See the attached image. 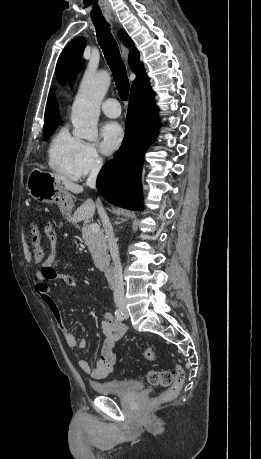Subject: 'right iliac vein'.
<instances>
[{
	"label": "right iliac vein",
	"mask_w": 261,
	"mask_h": 459,
	"mask_svg": "<svg viewBox=\"0 0 261 459\" xmlns=\"http://www.w3.org/2000/svg\"><path fill=\"white\" fill-rule=\"evenodd\" d=\"M119 308L123 310L125 308L124 304H119Z\"/></svg>",
	"instance_id": "obj_1"
}]
</instances>
